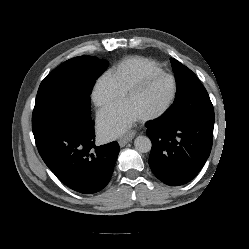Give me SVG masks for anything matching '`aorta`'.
I'll return each mask as SVG.
<instances>
[{"label":"aorta","mask_w":249,"mask_h":249,"mask_svg":"<svg viewBox=\"0 0 249 249\" xmlns=\"http://www.w3.org/2000/svg\"><path fill=\"white\" fill-rule=\"evenodd\" d=\"M135 149L140 153H147L151 150L152 143L149 137L139 135L134 140Z\"/></svg>","instance_id":"1"}]
</instances>
